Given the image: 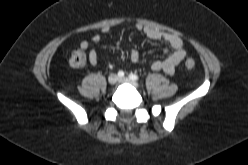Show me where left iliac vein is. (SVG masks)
<instances>
[{"label":"left iliac vein","instance_id":"1","mask_svg":"<svg viewBox=\"0 0 248 165\" xmlns=\"http://www.w3.org/2000/svg\"><path fill=\"white\" fill-rule=\"evenodd\" d=\"M119 81L122 82V83L131 84V85L134 86V87H138V83H137V82L132 81V80H130V79L127 78V77H121V78H119Z\"/></svg>","mask_w":248,"mask_h":165}]
</instances>
